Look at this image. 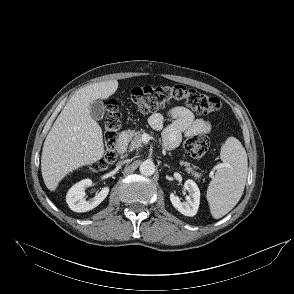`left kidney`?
I'll return each mask as SVG.
<instances>
[{"mask_svg":"<svg viewBox=\"0 0 294 294\" xmlns=\"http://www.w3.org/2000/svg\"><path fill=\"white\" fill-rule=\"evenodd\" d=\"M184 188L188 191L185 202H181L179 197L170 193V201L175 209L185 216L192 217L196 215L200 204V190L193 180H187Z\"/></svg>","mask_w":294,"mask_h":294,"instance_id":"5707ae66","label":"left kidney"}]
</instances>
